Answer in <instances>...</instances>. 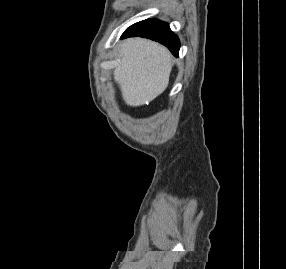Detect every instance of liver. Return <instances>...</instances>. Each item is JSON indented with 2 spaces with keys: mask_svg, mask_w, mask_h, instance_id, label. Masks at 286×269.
I'll list each match as a JSON object with an SVG mask.
<instances>
[{
  "mask_svg": "<svg viewBox=\"0 0 286 269\" xmlns=\"http://www.w3.org/2000/svg\"><path fill=\"white\" fill-rule=\"evenodd\" d=\"M119 57L121 63L113 74L127 105H144L166 89L172 64L164 46L142 38H130L123 41Z\"/></svg>",
  "mask_w": 286,
  "mask_h": 269,
  "instance_id": "1",
  "label": "liver"
}]
</instances>
